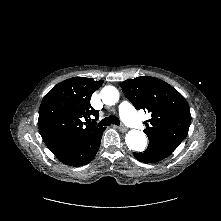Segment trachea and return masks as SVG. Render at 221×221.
<instances>
[{
	"instance_id": "trachea-1",
	"label": "trachea",
	"mask_w": 221,
	"mask_h": 221,
	"mask_svg": "<svg viewBox=\"0 0 221 221\" xmlns=\"http://www.w3.org/2000/svg\"><path fill=\"white\" fill-rule=\"evenodd\" d=\"M111 124L120 125V120L116 116H109L98 123V126H109Z\"/></svg>"
}]
</instances>
